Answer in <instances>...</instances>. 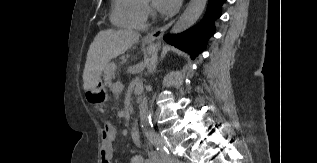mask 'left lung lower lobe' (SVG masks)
Wrapping results in <instances>:
<instances>
[{"mask_svg":"<svg viewBox=\"0 0 317 163\" xmlns=\"http://www.w3.org/2000/svg\"><path fill=\"white\" fill-rule=\"evenodd\" d=\"M226 0H209L203 20L191 29L178 34L167 35L164 39L181 50L196 57L202 52L208 38L214 34V20L221 16L222 5Z\"/></svg>","mask_w":317,"mask_h":163,"instance_id":"0a47b994","label":"left lung lower lobe"}]
</instances>
